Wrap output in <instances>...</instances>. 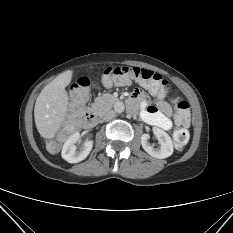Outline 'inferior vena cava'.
<instances>
[{"instance_id": "obj_1", "label": "inferior vena cava", "mask_w": 233, "mask_h": 233, "mask_svg": "<svg viewBox=\"0 0 233 233\" xmlns=\"http://www.w3.org/2000/svg\"><path fill=\"white\" fill-rule=\"evenodd\" d=\"M115 116H116V112L114 110H108L103 114L102 120L106 122L113 119Z\"/></svg>"}]
</instances>
